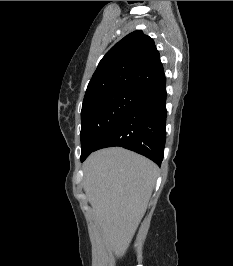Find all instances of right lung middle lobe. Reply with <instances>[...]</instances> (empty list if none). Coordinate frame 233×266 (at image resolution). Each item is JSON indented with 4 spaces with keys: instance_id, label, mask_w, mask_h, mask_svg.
<instances>
[{
    "instance_id": "obj_1",
    "label": "right lung middle lobe",
    "mask_w": 233,
    "mask_h": 266,
    "mask_svg": "<svg viewBox=\"0 0 233 266\" xmlns=\"http://www.w3.org/2000/svg\"><path fill=\"white\" fill-rule=\"evenodd\" d=\"M145 93L139 90H119L84 101L81 111V157L91 153Z\"/></svg>"
}]
</instances>
